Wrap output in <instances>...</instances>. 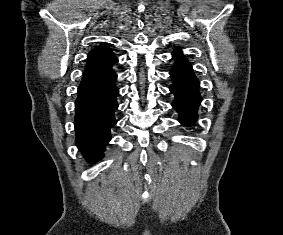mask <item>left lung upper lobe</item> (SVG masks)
I'll return each mask as SVG.
<instances>
[{"label":"left lung upper lobe","mask_w":283,"mask_h":235,"mask_svg":"<svg viewBox=\"0 0 283 235\" xmlns=\"http://www.w3.org/2000/svg\"><path fill=\"white\" fill-rule=\"evenodd\" d=\"M173 58L178 59L180 61H186L184 55L180 50H176L173 52Z\"/></svg>","instance_id":"5c2ea615"}]
</instances>
